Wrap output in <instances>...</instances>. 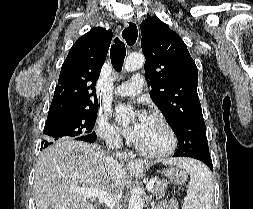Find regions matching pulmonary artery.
Listing matches in <instances>:
<instances>
[{"label":"pulmonary artery","mask_w":253,"mask_h":209,"mask_svg":"<svg viewBox=\"0 0 253 209\" xmlns=\"http://www.w3.org/2000/svg\"><path fill=\"white\" fill-rule=\"evenodd\" d=\"M144 86V78L140 73L131 77V79L114 89L117 96H135L141 93Z\"/></svg>","instance_id":"1"}]
</instances>
